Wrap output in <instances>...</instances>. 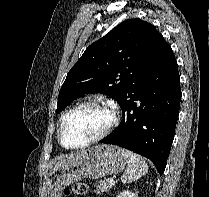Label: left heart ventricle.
<instances>
[{"label": "left heart ventricle", "instance_id": "b2bd125f", "mask_svg": "<svg viewBox=\"0 0 209 197\" xmlns=\"http://www.w3.org/2000/svg\"><path fill=\"white\" fill-rule=\"evenodd\" d=\"M110 114L101 106L85 105L68 116L62 139L67 146L79 145L99 134L108 124Z\"/></svg>", "mask_w": 209, "mask_h": 197}]
</instances>
